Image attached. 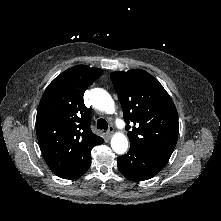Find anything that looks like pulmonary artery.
<instances>
[{
	"mask_svg": "<svg viewBox=\"0 0 221 221\" xmlns=\"http://www.w3.org/2000/svg\"><path fill=\"white\" fill-rule=\"evenodd\" d=\"M117 124H118V126H120V127H122L123 126V124H122V122L121 121H117Z\"/></svg>",
	"mask_w": 221,
	"mask_h": 221,
	"instance_id": "e3ab8cb5",
	"label": "pulmonary artery"
}]
</instances>
